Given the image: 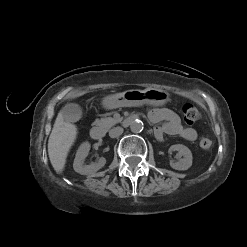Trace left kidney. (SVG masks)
<instances>
[{"instance_id":"left-kidney-1","label":"left kidney","mask_w":247,"mask_h":247,"mask_svg":"<svg viewBox=\"0 0 247 247\" xmlns=\"http://www.w3.org/2000/svg\"><path fill=\"white\" fill-rule=\"evenodd\" d=\"M178 151L179 156H183L178 162L170 161V166L175 170H187L192 166V153L190 149L182 144H175L169 148V152Z\"/></svg>"}]
</instances>
